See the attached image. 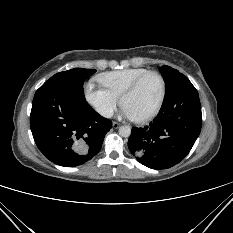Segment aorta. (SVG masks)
<instances>
[{
	"instance_id": "1",
	"label": "aorta",
	"mask_w": 233,
	"mask_h": 233,
	"mask_svg": "<svg viewBox=\"0 0 233 233\" xmlns=\"http://www.w3.org/2000/svg\"><path fill=\"white\" fill-rule=\"evenodd\" d=\"M131 134V128L129 126H121L119 128V135L121 137H129Z\"/></svg>"
}]
</instances>
